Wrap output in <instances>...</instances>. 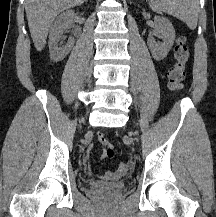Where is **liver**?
Masks as SVG:
<instances>
[{
    "label": "liver",
    "mask_w": 216,
    "mask_h": 217,
    "mask_svg": "<svg viewBox=\"0 0 216 217\" xmlns=\"http://www.w3.org/2000/svg\"><path fill=\"white\" fill-rule=\"evenodd\" d=\"M85 0H25L30 34L35 48L41 51L55 17L62 11L81 5Z\"/></svg>",
    "instance_id": "1"
}]
</instances>
